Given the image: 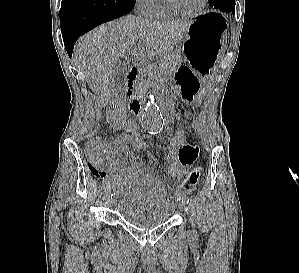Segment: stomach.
Segmentation results:
<instances>
[{
  "instance_id": "obj_1",
  "label": "stomach",
  "mask_w": 299,
  "mask_h": 273,
  "mask_svg": "<svg viewBox=\"0 0 299 273\" xmlns=\"http://www.w3.org/2000/svg\"><path fill=\"white\" fill-rule=\"evenodd\" d=\"M227 25L223 14L209 12L195 19L185 33L187 67H175L171 77L183 101H196L205 89L206 76L220 74V62L215 61L222 54Z\"/></svg>"
}]
</instances>
